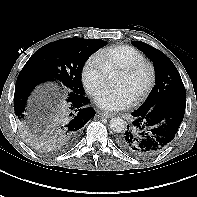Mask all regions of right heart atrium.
Here are the masks:
<instances>
[{
  "mask_svg": "<svg viewBox=\"0 0 197 197\" xmlns=\"http://www.w3.org/2000/svg\"><path fill=\"white\" fill-rule=\"evenodd\" d=\"M108 76L106 68L97 55L88 58L81 69V81L92 96L105 86Z\"/></svg>",
  "mask_w": 197,
  "mask_h": 197,
  "instance_id": "obj_1",
  "label": "right heart atrium"
}]
</instances>
